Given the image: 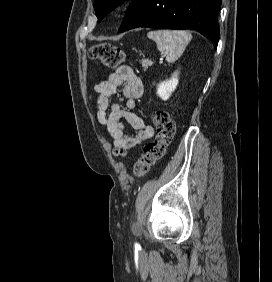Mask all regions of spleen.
<instances>
[{
  "instance_id": "spleen-1",
  "label": "spleen",
  "mask_w": 272,
  "mask_h": 282,
  "mask_svg": "<svg viewBox=\"0 0 272 282\" xmlns=\"http://www.w3.org/2000/svg\"><path fill=\"white\" fill-rule=\"evenodd\" d=\"M147 36L156 42L159 51L167 54L166 60L169 63H173L181 57L192 39L189 32L176 30L150 31Z\"/></svg>"
}]
</instances>
